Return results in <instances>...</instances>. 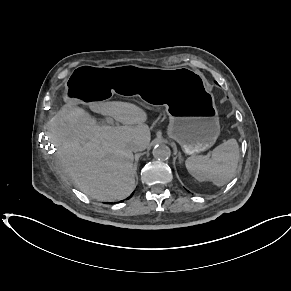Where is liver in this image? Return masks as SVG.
Returning a JSON list of instances; mask_svg holds the SVG:
<instances>
[{"instance_id":"liver-1","label":"liver","mask_w":291,"mask_h":291,"mask_svg":"<svg viewBox=\"0 0 291 291\" xmlns=\"http://www.w3.org/2000/svg\"><path fill=\"white\" fill-rule=\"evenodd\" d=\"M123 126L99 125L84 109L67 102L52 118L51 142L63 172L86 195L101 201L122 200L135 189L131 144L145 150L151 140L147 114L121 101L88 103Z\"/></svg>"}]
</instances>
